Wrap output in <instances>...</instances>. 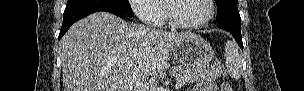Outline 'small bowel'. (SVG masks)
I'll return each mask as SVG.
<instances>
[{"instance_id":"small-bowel-1","label":"small bowel","mask_w":304,"mask_h":91,"mask_svg":"<svg viewBox=\"0 0 304 91\" xmlns=\"http://www.w3.org/2000/svg\"><path fill=\"white\" fill-rule=\"evenodd\" d=\"M214 86L210 81L200 82L195 85L191 91H214Z\"/></svg>"}]
</instances>
